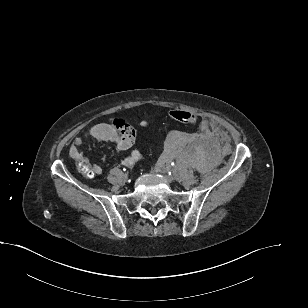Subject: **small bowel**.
<instances>
[{
  "instance_id": "small-bowel-1",
  "label": "small bowel",
  "mask_w": 308,
  "mask_h": 308,
  "mask_svg": "<svg viewBox=\"0 0 308 308\" xmlns=\"http://www.w3.org/2000/svg\"><path fill=\"white\" fill-rule=\"evenodd\" d=\"M142 127H147V121H141ZM92 138L99 141H106L115 144L119 151L130 149L136 140V132L125 120L120 118L112 119L109 123H98L89 127L84 133L74 140L70 147L71 157L78 158L83 156L81 146L85 139ZM141 157V152L134 149L127 157L123 158L121 163L130 167L134 165ZM93 174L100 175L102 168L95 164L92 167Z\"/></svg>"
}]
</instances>
